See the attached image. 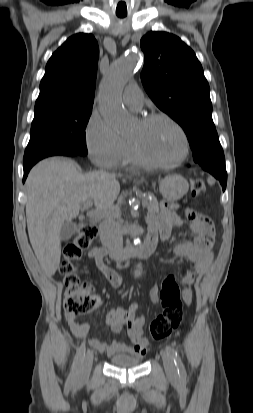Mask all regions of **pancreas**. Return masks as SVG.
Returning <instances> with one entry per match:
<instances>
[{
    "instance_id": "obj_1",
    "label": "pancreas",
    "mask_w": 253,
    "mask_h": 413,
    "mask_svg": "<svg viewBox=\"0 0 253 413\" xmlns=\"http://www.w3.org/2000/svg\"><path fill=\"white\" fill-rule=\"evenodd\" d=\"M150 193H140V196L142 198V203H146V207L148 209L149 213L156 214L159 212V204L158 201L155 198H150ZM120 212L115 211L110 214V217L113 218H118Z\"/></svg>"
}]
</instances>
